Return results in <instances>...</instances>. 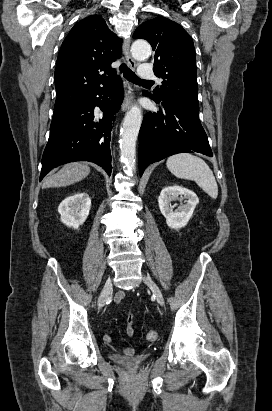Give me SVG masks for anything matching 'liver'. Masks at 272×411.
Wrapping results in <instances>:
<instances>
[{"label":"liver","mask_w":272,"mask_h":411,"mask_svg":"<svg viewBox=\"0 0 272 411\" xmlns=\"http://www.w3.org/2000/svg\"><path fill=\"white\" fill-rule=\"evenodd\" d=\"M90 173V167L80 162H72L64 165L56 174L48 176L43 188L63 187L79 182Z\"/></svg>","instance_id":"obj_1"}]
</instances>
